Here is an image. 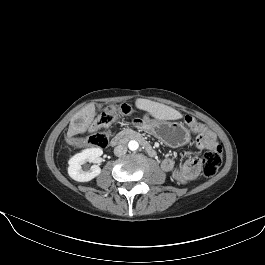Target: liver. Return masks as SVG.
<instances>
[{"mask_svg":"<svg viewBox=\"0 0 265 265\" xmlns=\"http://www.w3.org/2000/svg\"><path fill=\"white\" fill-rule=\"evenodd\" d=\"M135 105L138 109L146 111L157 120H178L183 117L182 114L174 108L148 99H136ZM95 116L96 108L94 103H89L84 106L71 118L67 135L71 137L76 134L85 133Z\"/></svg>","mask_w":265,"mask_h":265,"instance_id":"1","label":"liver"}]
</instances>
